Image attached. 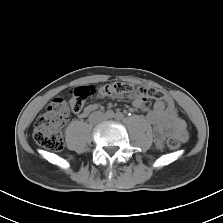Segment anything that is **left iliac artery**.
<instances>
[{"label":"left iliac artery","instance_id":"obj_1","mask_svg":"<svg viewBox=\"0 0 223 223\" xmlns=\"http://www.w3.org/2000/svg\"><path fill=\"white\" fill-rule=\"evenodd\" d=\"M123 114L122 113H120V112H117L116 114H115V119H117V120H121V119H123Z\"/></svg>","mask_w":223,"mask_h":223}]
</instances>
